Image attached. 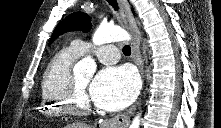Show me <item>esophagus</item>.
<instances>
[{
	"label": "esophagus",
	"mask_w": 221,
	"mask_h": 128,
	"mask_svg": "<svg viewBox=\"0 0 221 128\" xmlns=\"http://www.w3.org/2000/svg\"><path fill=\"white\" fill-rule=\"evenodd\" d=\"M118 2L121 8V15L124 20L125 26L133 37L134 41V46L132 49V59L138 65L140 73L144 77V65L139 51L141 37L137 22L133 17L129 2L127 0H118ZM138 105L139 100L127 112L118 113L112 119L99 122L96 125L99 128H125L130 122V116L134 114Z\"/></svg>",
	"instance_id": "esophagus-1"
}]
</instances>
